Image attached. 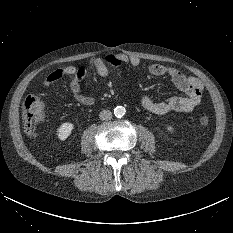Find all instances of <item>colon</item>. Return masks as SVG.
<instances>
[{"mask_svg": "<svg viewBox=\"0 0 233 233\" xmlns=\"http://www.w3.org/2000/svg\"><path fill=\"white\" fill-rule=\"evenodd\" d=\"M44 118V105L41 98L38 95H29L26 97L23 103L22 120L24 130L29 135H35L39 123ZM201 126H207L210 123V119L207 116H203L199 119Z\"/></svg>", "mask_w": 233, "mask_h": 233, "instance_id": "colon-1", "label": "colon"}]
</instances>
